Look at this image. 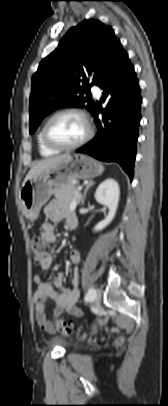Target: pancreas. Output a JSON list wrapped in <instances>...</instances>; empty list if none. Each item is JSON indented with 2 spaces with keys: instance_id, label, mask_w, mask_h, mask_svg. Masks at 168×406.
<instances>
[{
  "instance_id": "pancreas-1",
  "label": "pancreas",
  "mask_w": 168,
  "mask_h": 406,
  "mask_svg": "<svg viewBox=\"0 0 168 406\" xmlns=\"http://www.w3.org/2000/svg\"><path fill=\"white\" fill-rule=\"evenodd\" d=\"M78 193L79 190L72 182L62 188L54 189L55 199L66 207H70L71 203L77 199Z\"/></svg>"
}]
</instances>
